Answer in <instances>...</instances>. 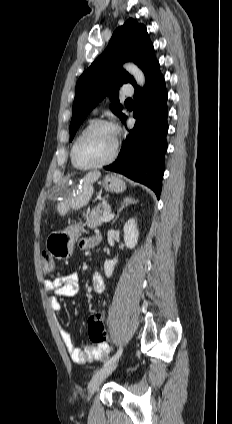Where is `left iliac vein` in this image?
Returning <instances> with one entry per match:
<instances>
[{
    "label": "left iliac vein",
    "mask_w": 232,
    "mask_h": 424,
    "mask_svg": "<svg viewBox=\"0 0 232 424\" xmlns=\"http://www.w3.org/2000/svg\"><path fill=\"white\" fill-rule=\"evenodd\" d=\"M118 362L114 361L101 369H99L92 377L89 386H88V394L92 396L96 390L99 388L101 383L115 370Z\"/></svg>",
    "instance_id": "1"
}]
</instances>
